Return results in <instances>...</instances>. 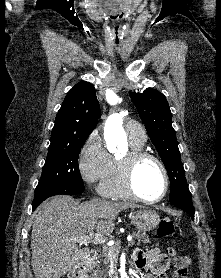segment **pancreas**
<instances>
[{
    "label": "pancreas",
    "mask_w": 221,
    "mask_h": 278,
    "mask_svg": "<svg viewBox=\"0 0 221 278\" xmlns=\"http://www.w3.org/2000/svg\"><path fill=\"white\" fill-rule=\"evenodd\" d=\"M133 236L137 240L138 245L141 244V242H144V243L149 242V238L146 233L137 232V233H133ZM133 244H134V241H133L132 245ZM110 249L114 253L115 257H117L120 252V247L118 245H114V246L110 247ZM98 258L102 260L104 265L109 264V261H110L109 250L107 248H103L102 253H100ZM94 266H97L96 262H94ZM107 275H108L107 269H102V268L97 267V269L94 270L93 273H91L89 278H107Z\"/></svg>",
    "instance_id": "pancreas-1"
}]
</instances>
